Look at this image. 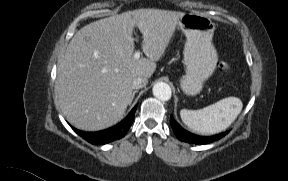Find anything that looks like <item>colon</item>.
<instances>
[{"instance_id":"1","label":"colon","mask_w":288,"mask_h":181,"mask_svg":"<svg viewBox=\"0 0 288 181\" xmlns=\"http://www.w3.org/2000/svg\"><path fill=\"white\" fill-rule=\"evenodd\" d=\"M219 66H220V68H221L224 72H227V71L230 70V65H229V63H227V62H221V63L219 64Z\"/></svg>"}]
</instances>
